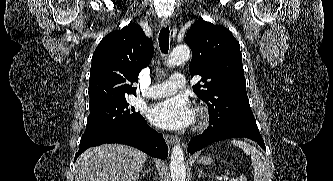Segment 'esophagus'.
I'll return each instance as SVG.
<instances>
[{"instance_id":"1","label":"esophagus","mask_w":333,"mask_h":181,"mask_svg":"<svg viewBox=\"0 0 333 181\" xmlns=\"http://www.w3.org/2000/svg\"><path fill=\"white\" fill-rule=\"evenodd\" d=\"M170 24L169 19L167 18H162L161 20V26L163 28L167 27ZM164 139L168 144H174L179 142V139L177 136H173V135H164Z\"/></svg>"}]
</instances>
